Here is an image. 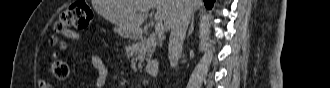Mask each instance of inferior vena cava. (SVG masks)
<instances>
[{
	"label": "inferior vena cava",
	"mask_w": 330,
	"mask_h": 88,
	"mask_svg": "<svg viewBox=\"0 0 330 88\" xmlns=\"http://www.w3.org/2000/svg\"><path fill=\"white\" fill-rule=\"evenodd\" d=\"M192 14V8L185 5L180 9L171 27L168 52L170 65L172 68L177 66L178 60L181 58L183 42Z\"/></svg>",
	"instance_id": "inferior-vena-cava-1"
}]
</instances>
